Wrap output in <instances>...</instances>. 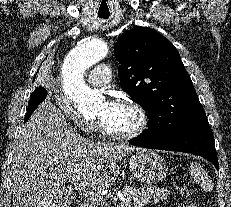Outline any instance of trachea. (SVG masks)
<instances>
[{
    "mask_svg": "<svg viewBox=\"0 0 231 207\" xmlns=\"http://www.w3.org/2000/svg\"><path fill=\"white\" fill-rule=\"evenodd\" d=\"M99 17L102 19H107L109 17V15H99Z\"/></svg>",
    "mask_w": 231,
    "mask_h": 207,
    "instance_id": "3493384b",
    "label": "trachea"
}]
</instances>
